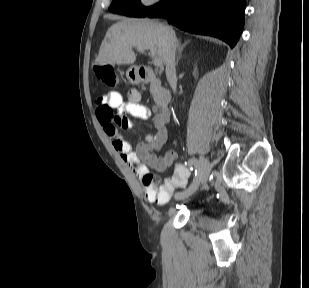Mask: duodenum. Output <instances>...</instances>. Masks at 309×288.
Returning <instances> with one entry per match:
<instances>
[{"instance_id":"1","label":"duodenum","mask_w":309,"mask_h":288,"mask_svg":"<svg viewBox=\"0 0 309 288\" xmlns=\"http://www.w3.org/2000/svg\"><path fill=\"white\" fill-rule=\"evenodd\" d=\"M137 76L141 82H151L155 80V75L148 67L141 66L137 69ZM171 100V95L168 90L161 88L155 95L157 105L166 110Z\"/></svg>"}]
</instances>
